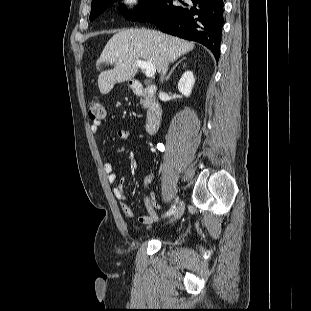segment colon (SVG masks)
<instances>
[{
    "label": "colon",
    "mask_w": 311,
    "mask_h": 311,
    "mask_svg": "<svg viewBox=\"0 0 311 311\" xmlns=\"http://www.w3.org/2000/svg\"><path fill=\"white\" fill-rule=\"evenodd\" d=\"M88 116L92 121H101L105 116L104 105L100 100H93L88 107Z\"/></svg>",
    "instance_id": "obj_1"
}]
</instances>
